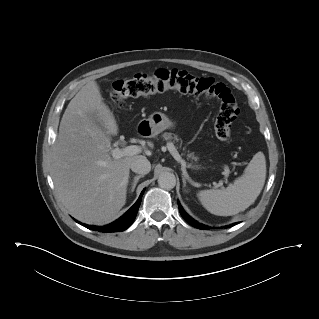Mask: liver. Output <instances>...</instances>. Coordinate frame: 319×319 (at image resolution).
<instances>
[{"mask_svg": "<svg viewBox=\"0 0 319 319\" xmlns=\"http://www.w3.org/2000/svg\"><path fill=\"white\" fill-rule=\"evenodd\" d=\"M118 130L96 81L81 88L61 119L52 149L51 175L62 204L84 223H108L116 217L126 203L130 165L144 157L110 156V136Z\"/></svg>", "mask_w": 319, "mask_h": 319, "instance_id": "6515ba94", "label": "liver"}]
</instances>
